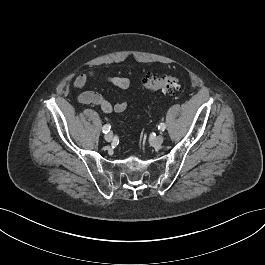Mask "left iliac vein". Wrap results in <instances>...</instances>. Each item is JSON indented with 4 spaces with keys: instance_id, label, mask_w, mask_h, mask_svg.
Returning <instances> with one entry per match:
<instances>
[{
    "instance_id": "obj_1",
    "label": "left iliac vein",
    "mask_w": 265,
    "mask_h": 265,
    "mask_svg": "<svg viewBox=\"0 0 265 265\" xmlns=\"http://www.w3.org/2000/svg\"><path fill=\"white\" fill-rule=\"evenodd\" d=\"M164 141V136L163 135H158L156 136L155 138H153L151 140V144L154 146V147H159Z\"/></svg>"
}]
</instances>
